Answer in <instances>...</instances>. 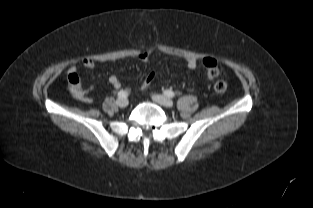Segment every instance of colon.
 Here are the masks:
<instances>
[{"label":"colon","mask_w":313,"mask_h":208,"mask_svg":"<svg viewBox=\"0 0 313 208\" xmlns=\"http://www.w3.org/2000/svg\"><path fill=\"white\" fill-rule=\"evenodd\" d=\"M208 78L210 81L213 82L212 88L217 93H223L227 90V83L224 80H217L219 76V69L218 67H212L207 72ZM155 73L150 72L146 75L144 79V85L148 86L154 79Z\"/></svg>","instance_id":"5ec220e1"}]
</instances>
